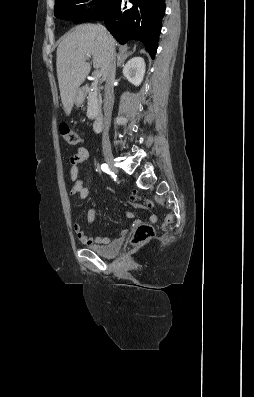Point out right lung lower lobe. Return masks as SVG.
Instances as JSON below:
<instances>
[{
    "mask_svg": "<svg viewBox=\"0 0 254 397\" xmlns=\"http://www.w3.org/2000/svg\"><path fill=\"white\" fill-rule=\"evenodd\" d=\"M127 2L133 7L128 8ZM164 14L165 0H113L108 9L93 19L104 20L120 44L131 39L141 41L154 59Z\"/></svg>",
    "mask_w": 254,
    "mask_h": 397,
    "instance_id": "98d812e1",
    "label": "right lung lower lobe"
}]
</instances>
